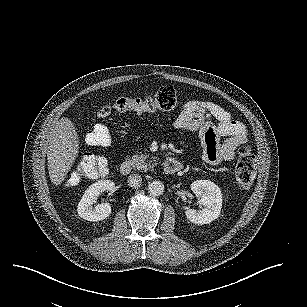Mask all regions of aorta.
I'll list each match as a JSON object with an SVG mask.
<instances>
[{"label": "aorta", "instance_id": "1", "mask_svg": "<svg viewBox=\"0 0 307 307\" xmlns=\"http://www.w3.org/2000/svg\"><path fill=\"white\" fill-rule=\"evenodd\" d=\"M164 184L161 181L155 180L148 184V192L151 196L157 197L164 193Z\"/></svg>", "mask_w": 307, "mask_h": 307}]
</instances>
